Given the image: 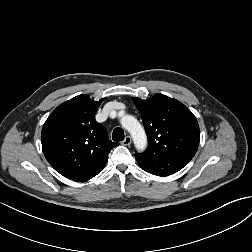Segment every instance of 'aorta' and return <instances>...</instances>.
<instances>
[{
	"instance_id": "762f6f07",
	"label": "aorta",
	"mask_w": 252,
	"mask_h": 252,
	"mask_svg": "<svg viewBox=\"0 0 252 252\" xmlns=\"http://www.w3.org/2000/svg\"><path fill=\"white\" fill-rule=\"evenodd\" d=\"M121 124L132 136L135 147L138 150H144L147 145V136L139 121L131 115H125L121 119Z\"/></svg>"
}]
</instances>
